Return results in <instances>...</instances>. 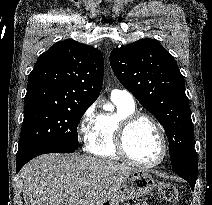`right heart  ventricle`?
I'll return each mask as SVG.
<instances>
[{
  "label": "right heart ventricle",
  "mask_w": 212,
  "mask_h": 205,
  "mask_svg": "<svg viewBox=\"0 0 212 205\" xmlns=\"http://www.w3.org/2000/svg\"><path fill=\"white\" fill-rule=\"evenodd\" d=\"M116 110L113 113H104L97 117L91 138L86 150L97 157L121 160L122 157L115 147V130L118 122L126 115L136 111L135 104L112 99Z\"/></svg>",
  "instance_id": "1"
}]
</instances>
